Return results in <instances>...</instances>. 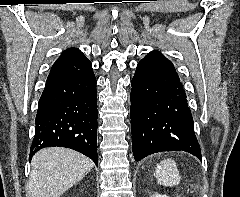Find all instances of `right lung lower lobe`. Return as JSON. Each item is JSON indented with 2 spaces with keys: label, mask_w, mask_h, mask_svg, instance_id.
<instances>
[{
  "label": "right lung lower lobe",
  "mask_w": 240,
  "mask_h": 197,
  "mask_svg": "<svg viewBox=\"0 0 240 197\" xmlns=\"http://www.w3.org/2000/svg\"><path fill=\"white\" fill-rule=\"evenodd\" d=\"M91 65L50 72L40 97L30 157L42 148H71L97 160V92Z\"/></svg>",
  "instance_id": "obj_1"
}]
</instances>
